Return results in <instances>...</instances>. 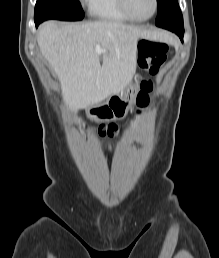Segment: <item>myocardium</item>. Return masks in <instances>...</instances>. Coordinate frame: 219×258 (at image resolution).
Returning <instances> with one entry per match:
<instances>
[{
  "label": "myocardium",
  "instance_id": "obj_1",
  "mask_svg": "<svg viewBox=\"0 0 219 258\" xmlns=\"http://www.w3.org/2000/svg\"><path fill=\"white\" fill-rule=\"evenodd\" d=\"M119 3V7L121 9V11L132 21H136V22H145V21H149L150 19H152L156 13L158 12L159 9V1L158 0H154V9L153 12L151 13V15H149L148 17L145 18H138L135 17L129 10L128 7V3L127 0H118Z\"/></svg>",
  "mask_w": 219,
  "mask_h": 258
}]
</instances>
